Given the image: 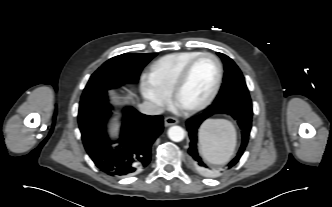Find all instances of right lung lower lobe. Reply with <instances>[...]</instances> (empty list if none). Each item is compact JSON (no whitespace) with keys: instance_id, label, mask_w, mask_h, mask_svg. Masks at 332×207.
Here are the masks:
<instances>
[{"instance_id":"98d812e1","label":"right lung lower lobe","mask_w":332,"mask_h":207,"mask_svg":"<svg viewBox=\"0 0 332 207\" xmlns=\"http://www.w3.org/2000/svg\"><path fill=\"white\" fill-rule=\"evenodd\" d=\"M107 92L81 100L78 123L84 147L95 165L113 177L133 175L147 167L151 147L163 131V117L124 109L119 143L115 149L106 132L110 116Z\"/></svg>"}]
</instances>
